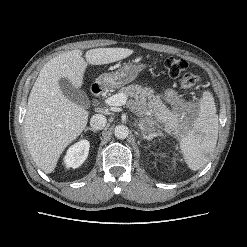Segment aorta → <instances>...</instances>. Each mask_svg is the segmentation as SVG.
<instances>
[{
    "mask_svg": "<svg viewBox=\"0 0 247 247\" xmlns=\"http://www.w3.org/2000/svg\"><path fill=\"white\" fill-rule=\"evenodd\" d=\"M114 134L118 139H126L129 135V129L125 125H117Z\"/></svg>",
    "mask_w": 247,
    "mask_h": 247,
    "instance_id": "obj_1",
    "label": "aorta"
}]
</instances>
